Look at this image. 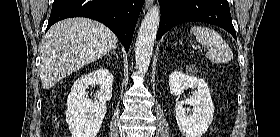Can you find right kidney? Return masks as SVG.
Wrapping results in <instances>:
<instances>
[{"label": "right kidney", "mask_w": 280, "mask_h": 137, "mask_svg": "<svg viewBox=\"0 0 280 137\" xmlns=\"http://www.w3.org/2000/svg\"><path fill=\"white\" fill-rule=\"evenodd\" d=\"M98 86L95 99L87 98L86 89ZM113 76L98 69L77 79L67 98L66 122L72 137H96L106 114V101L112 98Z\"/></svg>", "instance_id": "obj_1"}]
</instances>
